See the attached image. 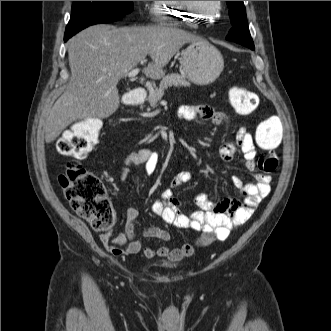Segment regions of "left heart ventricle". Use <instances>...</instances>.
Wrapping results in <instances>:
<instances>
[{
    "instance_id": "obj_1",
    "label": "left heart ventricle",
    "mask_w": 331,
    "mask_h": 331,
    "mask_svg": "<svg viewBox=\"0 0 331 331\" xmlns=\"http://www.w3.org/2000/svg\"><path fill=\"white\" fill-rule=\"evenodd\" d=\"M206 12H211L215 7V1H195Z\"/></svg>"
}]
</instances>
